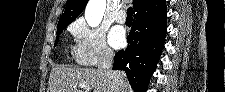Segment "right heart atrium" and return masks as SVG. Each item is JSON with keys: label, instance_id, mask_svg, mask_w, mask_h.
<instances>
[{"label": "right heart atrium", "instance_id": "1", "mask_svg": "<svg viewBox=\"0 0 225 92\" xmlns=\"http://www.w3.org/2000/svg\"><path fill=\"white\" fill-rule=\"evenodd\" d=\"M70 32L74 39L73 56L78 64L94 66L112 56L103 27L92 26L80 18L71 25Z\"/></svg>", "mask_w": 225, "mask_h": 92}]
</instances>
